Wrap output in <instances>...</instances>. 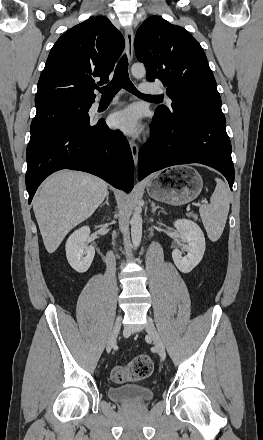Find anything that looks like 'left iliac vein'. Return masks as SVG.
<instances>
[{
	"label": "left iliac vein",
	"instance_id": "obj_1",
	"mask_svg": "<svg viewBox=\"0 0 263 440\" xmlns=\"http://www.w3.org/2000/svg\"><path fill=\"white\" fill-rule=\"evenodd\" d=\"M146 332L153 340V344H154L158 354L160 355V357L162 359H165L166 351H165L164 343L162 342L160 335L158 334L154 324L152 323V321L150 319H148L147 324H146Z\"/></svg>",
	"mask_w": 263,
	"mask_h": 440
}]
</instances>
